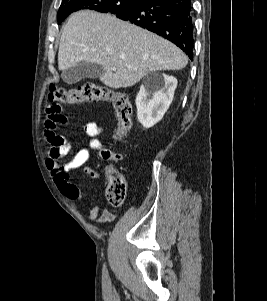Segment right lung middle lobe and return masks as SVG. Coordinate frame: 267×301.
Instances as JSON below:
<instances>
[{
    "label": "right lung middle lobe",
    "mask_w": 267,
    "mask_h": 301,
    "mask_svg": "<svg viewBox=\"0 0 267 301\" xmlns=\"http://www.w3.org/2000/svg\"><path fill=\"white\" fill-rule=\"evenodd\" d=\"M142 0H62L57 19L59 24L72 12L82 9L117 14L133 8Z\"/></svg>",
    "instance_id": "right-lung-middle-lobe-1"
}]
</instances>
